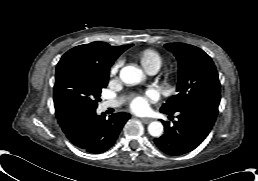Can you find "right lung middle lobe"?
Returning a JSON list of instances; mask_svg holds the SVG:
<instances>
[{
	"label": "right lung middle lobe",
	"mask_w": 258,
	"mask_h": 181,
	"mask_svg": "<svg viewBox=\"0 0 258 181\" xmlns=\"http://www.w3.org/2000/svg\"><path fill=\"white\" fill-rule=\"evenodd\" d=\"M108 75L78 55L63 56L56 68L55 109L70 105L96 109L101 91L107 86Z\"/></svg>",
	"instance_id": "right-lung-middle-lobe-1"
}]
</instances>
